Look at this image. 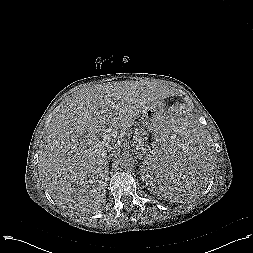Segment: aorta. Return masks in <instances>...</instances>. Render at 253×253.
I'll return each instance as SVG.
<instances>
[{
	"label": "aorta",
	"instance_id": "aorta-1",
	"mask_svg": "<svg viewBox=\"0 0 253 253\" xmlns=\"http://www.w3.org/2000/svg\"><path fill=\"white\" fill-rule=\"evenodd\" d=\"M118 163L122 169L129 170L134 167L135 161L131 154L125 153L118 157Z\"/></svg>",
	"mask_w": 253,
	"mask_h": 253
}]
</instances>
